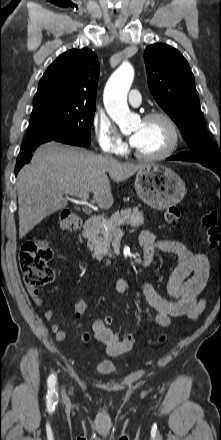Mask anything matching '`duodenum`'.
I'll return each instance as SVG.
<instances>
[{
  "label": "duodenum",
  "instance_id": "1",
  "mask_svg": "<svg viewBox=\"0 0 221 440\" xmlns=\"http://www.w3.org/2000/svg\"><path fill=\"white\" fill-rule=\"evenodd\" d=\"M99 222H100V218L96 215L88 218L84 225L83 235L88 236L89 234H91L96 229Z\"/></svg>",
  "mask_w": 221,
  "mask_h": 440
}]
</instances>
